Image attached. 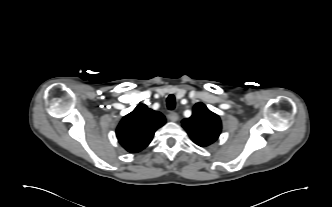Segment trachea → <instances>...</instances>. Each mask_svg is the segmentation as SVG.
<instances>
[{
	"instance_id": "obj_1",
	"label": "trachea",
	"mask_w": 332,
	"mask_h": 207,
	"mask_svg": "<svg viewBox=\"0 0 332 207\" xmlns=\"http://www.w3.org/2000/svg\"><path fill=\"white\" fill-rule=\"evenodd\" d=\"M175 97H174V95H169L168 97H167V108L169 109V110H173L174 108H175Z\"/></svg>"
}]
</instances>
